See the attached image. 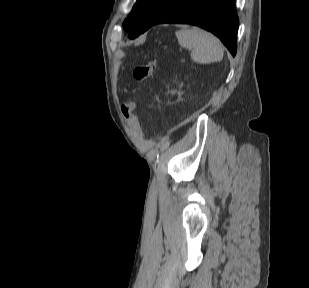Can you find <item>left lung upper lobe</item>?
Wrapping results in <instances>:
<instances>
[{
  "label": "left lung upper lobe",
  "instance_id": "left-lung-upper-lobe-1",
  "mask_svg": "<svg viewBox=\"0 0 309 288\" xmlns=\"http://www.w3.org/2000/svg\"><path fill=\"white\" fill-rule=\"evenodd\" d=\"M161 1L162 0H137L131 13L123 22V27L128 32L129 36L134 35L142 28L145 21Z\"/></svg>",
  "mask_w": 309,
  "mask_h": 288
}]
</instances>
